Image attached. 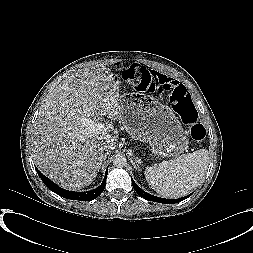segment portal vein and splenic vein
Listing matches in <instances>:
<instances>
[{"mask_svg": "<svg viewBox=\"0 0 253 253\" xmlns=\"http://www.w3.org/2000/svg\"><path fill=\"white\" fill-rule=\"evenodd\" d=\"M81 123L89 134H106L109 129L104 123L95 122L91 118H82Z\"/></svg>", "mask_w": 253, "mask_h": 253, "instance_id": "obj_1", "label": "portal vein and splenic vein"}]
</instances>
